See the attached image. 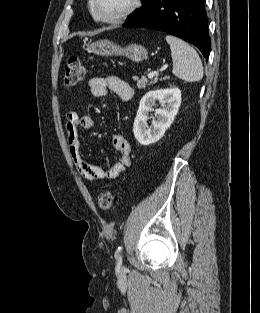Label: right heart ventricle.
<instances>
[{
    "instance_id": "obj_1",
    "label": "right heart ventricle",
    "mask_w": 260,
    "mask_h": 313,
    "mask_svg": "<svg viewBox=\"0 0 260 313\" xmlns=\"http://www.w3.org/2000/svg\"><path fill=\"white\" fill-rule=\"evenodd\" d=\"M88 9H89V12L91 13L92 17L97 21V19L95 18L93 12H92V9H91V0L88 1Z\"/></svg>"
}]
</instances>
